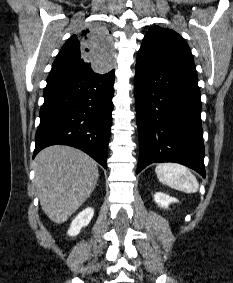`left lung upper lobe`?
<instances>
[{"mask_svg": "<svg viewBox=\"0 0 233 283\" xmlns=\"http://www.w3.org/2000/svg\"><path fill=\"white\" fill-rule=\"evenodd\" d=\"M139 52L163 59L193 61L188 44L171 29L152 27L145 35Z\"/></svg>", "mask_w": 233, "mask_h": 283, "instance_id": "obj_1", "label": "left lung upper lobe"}]
</instances>
